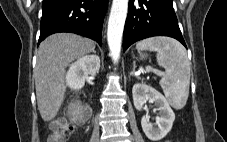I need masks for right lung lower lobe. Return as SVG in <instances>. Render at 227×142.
I'll use <instances>...</instances> for the list:
<instances>
[{
    "instance_id": "1",
    "label": "right lung lower lobe",
    "mask_w": 227,
    "mask_h": 142,
    "mask_svg": "<svg viewBox=\"0 0 227 142\" xmlns=\"http://www.w3.org/2000/svg\"><path fill=\"white\" fill-rule=\"evenodd\" d=\"M108 0H43L40 43L48 35L69 32L91 38L101 46Z\"/></svg>"
}]
</instances>
